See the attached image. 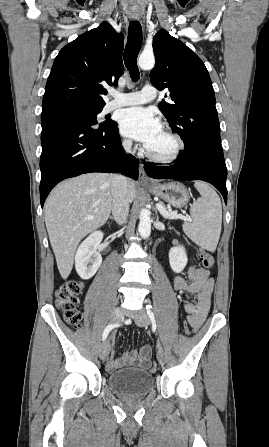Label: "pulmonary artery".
<instances>
[{
  "label": "pulmonary artery",
  "instance_id": "1",
  "mask_svg": "<svg viewBox=\"0 0 269 447\" xmlns=\"http://www.w3.org/2000/svg\"><path fill=\"white\" fill-rule=\"evenodd\" d=\"M157 97V90L150 85L144 86L141 90L131 93H117L107 104L106 109L112 110L119 107L145 104L153 101Z\"/></svg>",
  "mask_w": 269,
  "mask_h": 447
}]
</instances>
